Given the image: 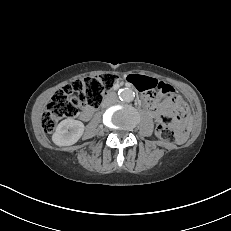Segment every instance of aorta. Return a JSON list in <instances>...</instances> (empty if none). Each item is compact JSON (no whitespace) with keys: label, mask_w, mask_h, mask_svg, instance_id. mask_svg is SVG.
Wrapping results in <instances>:
<instances>
[{"label":"aorta","mask_w":231,"mask_h":231,"mask_svg":"<svg viewBox=\"0 0 231 231\" xmlns=\"http://www.w3.org/2000/svg\"><path fill=\"white\" fill-rule=\"evenodd\" d=\"M135 97L134 92L129 88H124L119 91V99L124 102H131Z\"/></svg>","instance_id":"aorta-1"}]
</instances>
